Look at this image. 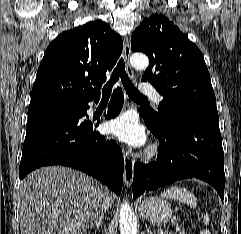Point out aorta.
I'll return each instance as SVG.
<instances>
[{
	"label": "aorta",
	"instance_id": "762f6f07",
	"mask_svg": "<svg viewBox=\"0 0 241 234\" xmlns=\"http://www.w3.org/2000/svg\"><path fill=\"white\" fill-rule=\"evenodd\" d=\"M130 63L137 70H145L149 65V59L144 54L136 53L130 57ZM119 216L120 233L137 234L136 216L127 201L121 205Z\"/></svg>",
	"mask_w": 241,
	"mask_h": 234
}]
</instances>
